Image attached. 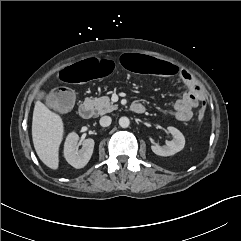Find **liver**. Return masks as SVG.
Wrapping results in <instances>:
<instances>
[{
    "instance_id": "6515ba94",
    "label": "liver",
    "mask_w": 241,
    "mask_h": 241,
    "mask_svg": "<svg viewBox=\"0 0 241 241\" xmlns=\"http://www.w3.org/2000/svg\"><path fill=\"white\" fill-rule=\"evenodd\" d=\"M62 118L41 101L35 103L32 118V139L40 160L50 169L59 167V146L63 139Z\"/></svg>"
}]
</instances>
